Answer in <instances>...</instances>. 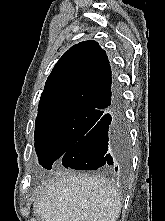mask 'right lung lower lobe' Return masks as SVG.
Wrapping results in <instances>:
<instances>
[{"label": "right lung lower lobe", "mask_w": 165, "mask_h": 221, "mask_svg": "<svg viewBox=\"0 0 165 221\" xmlns=\"http://www.w3.org/2000/svg\"><path fill=\"white\" fill-rule=\"evenodd\" d=\"M128 158V133L124 103L118 86L108 107L99 112L93 127L62 157L66 168L77 170L106 169L122 172Z\"/></svg>", "instance_id": "98d812e1"}]
</instances>
